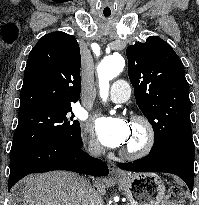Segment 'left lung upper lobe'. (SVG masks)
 I'll list each match as a JSON object with an SVG mask.
<instances>
[{
	"label": "left lung upper lobe",
	"instance_id": "1",
	"mask_svg": "<svg viewBox=\"0 0 199 205\" xmlns=\"http://www.w3.org/2000/svg\"><path fill=\"white\" fill-rule=\"evenodd\" d=\"M136 103L153 127L157 152L179 140H191V102L184 66L172 47L157 36L126 49Z\"/></svg>",
	"mask_w": 199,
	"mask_h": 205
}]
</instances>
